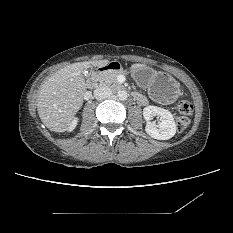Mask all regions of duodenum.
<instances>
[{"mask_svg":"<svg viewBox=\"0 0 233 233\" xmlns=\"http://www.w3.org/2000/svg\"><path fill=\"white\" fill-rule=\"evenodd\" d=\"M120 64L116 62H107L95 68L93 72V76L88 79V85L91 88H95L97 86L98 76L101 74H105L107 72L113 71L118 72L120 70ZM134 98H138V94H133Z\"/></svg>","mask_w":233,"mask_h":233,"instance_id":"410a0bca","label":"duodenum"}]
</instances>
